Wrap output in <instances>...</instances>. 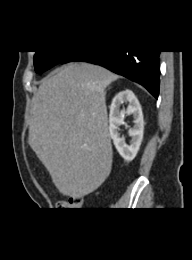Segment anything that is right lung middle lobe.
I'll list each match as a JSON object with an SVG mask.
<instances>
[{
    "instance_id": "right-lung-middle-lobe-1",
    "label": "right lung middle lobe",
    "mask_w": 192,
    "mask_h": 260,
    "mask_svg": "<svg viewBox=\"0 0 192 260\" xmlns=\"http://www.w3.org/2000/svg\"><path fill=\"white\" fill-rule=\"evenodd\" d=\"M69 51H36L34 55L35 71L39 74L55 66L64 59Z\"/></svg>"
}]
</instances>
